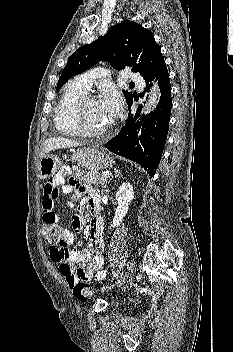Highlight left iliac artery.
<instances>
[{
	"label": "left iliac artery",
	"mask_w": 233,
	"mask_h": 352,
	"mask_svg": "<svg viewBox=\"0 0 233 352\" xmlns=\"http://www.w3.org/2000/svg\"><path fill=\"white\" fill-rule=\"evenodd\" d=\"M125 265H128V262L127 260H123L121 263H120V269H122Z\"/></svg>",
	"instance_id": "left-iliac-artery-1"
}]
</instances>
